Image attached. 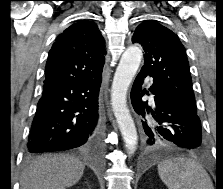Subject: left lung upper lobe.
I'll list each match as a JSON object with an SVG mask.
<instances>
[{
	"label": "left lung upper lobe",
	"instance_id": "5c2ea615",
	"mask_svg": "<svg viewBox=\"0 0 223 189\" xmlns=\"http://www.w3.org/2000/svg\"><path fill=\"white\" fill-rule=\"evenodd\" d=\"M144 49L145 63L142 69L163 86L172 101L180 106L197 112L189 63L184 46L178 36L155 21L141 23L132 37ZM148 148L162 147L166 143L158 141Z\"/></svg>",
	"mask_w": 223,
	"mask_h": 189
}]
</instances>
